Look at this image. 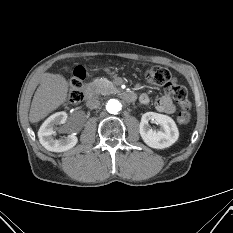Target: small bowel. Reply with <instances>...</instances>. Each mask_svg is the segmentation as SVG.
Returning a JSON list of instances; mask_svg holds the SVG:
<instances>
[{
    "label": "small bowel",
    "mask_w": 233,
    "mask_h": 233,
    "mask_svg": "<svg viewBox=\"0 0 233 233\" xmlns=\"http://www.w3.org/2000/svg\"><path fill=\"white\" fill-rule=\"evenodd\" d=\"M171 80L174 83L177 82L175 77H173ZM140 100H141V102L146 103V102H148V96L143 93L140 95ZM155 107L158 111L166 113V114H172L176 110L175 103L173 102L172 98L167 94L160 96L156 100Z\"/></svg>",
    "instance_id": "obj_1"
}]
</instances>
